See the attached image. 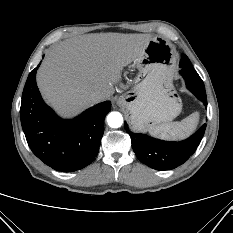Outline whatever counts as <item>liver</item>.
I'll list each match as a JSON object with an SVG mask.
<instances>
[{"instance_id":"liver-1","label":"liver","mask_w":233,"mask_h":233,"mask_svg":"<svg viewBox=\"0 0 233 233\" xmlns=\"http://www.w3.org/2000/svg\"><path fill=\"white\" fill-rule=\"evenodd\" d=\"M150 34L96 33L67 39L54 46L37 72L46 100L65 117L93 106L97 92L114 94L124 67L137 60L152 40Z\"/></svg>"}]
</instances>
